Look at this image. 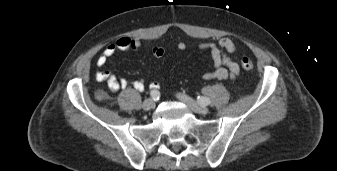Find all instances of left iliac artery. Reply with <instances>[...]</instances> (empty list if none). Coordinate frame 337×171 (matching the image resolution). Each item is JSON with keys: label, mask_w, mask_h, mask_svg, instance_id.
I'll return each instance as SVG.
<instances>
[{"label": "left iliac artery", "mask_w": 337, "mask_h": 171, "mask_svg": "<svg viewBox=\"0 0 337 171\" xmlns=\"http://www.w3.org/2000/svg\"><path fill=\"white\" fill-rule=\"evenodd\" d=\"M197 101H198V103H200L201 105H208V104H210V100H209V98H207V97H203V96H198L197 97Z\"/></svg>", "instance_id": "obj_1"}]
</instances>
